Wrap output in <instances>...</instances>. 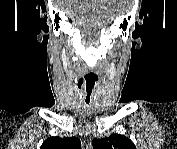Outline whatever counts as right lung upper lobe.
<instances>
[{
  "label": "right lung upper lobe",
  "mask_w": 177,
  "mask_h": 149,
  "mask_svg": "<svg viewBox=\"0 0 177 149\" xmlns=\"http://www.w3.org/2000/svg\"><path fill=\"white\" fill-rule=\"evenodd\" d=\"M41 149H81V142L77 137H50L43 142Z\"/></svg>",
  "instance_id": "obj_1"
}]
</instances>
